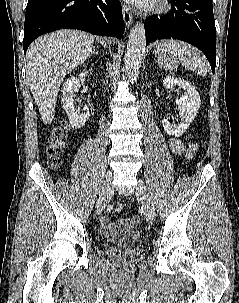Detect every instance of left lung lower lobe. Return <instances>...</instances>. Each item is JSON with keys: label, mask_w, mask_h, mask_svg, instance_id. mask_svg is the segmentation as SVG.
<instances>
[{"label": "left lung lower lobe", "mask_w": 239, "mask_h": 303, "mask_svg": "<svg viewBox=\"0 0 239 303\" xmlns=\"http://www.w3.org/2000/svg\"><path fill=\"white\" fill-rule=\"evenodd\" d=\"M171 10L160 18H147L146 45L157 39H179L200 49L216 66V28L212 0H171Z\"/></svg>", "instance_id": "left-lung-lower-lobe-1"}]
</instances>
